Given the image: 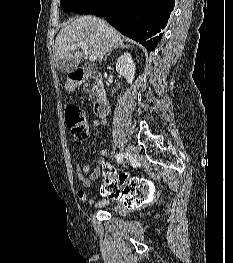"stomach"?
Wrapping results in <instances>:
<instances>
[{
	"label": "stomach",
	"instance_id": "1",
	"mask_svg": "<svg viewBox=\"0 0 233 263\" xmlns=\"http://www.w3.org/2000/svg\"><path fill=\"white\" fill-rule=\"evenodd\" d=\"M66 88L67 90L71 91L75 88V83L71 82V81H67L66 83Z\"/></svg>",
	"mask_w": 233,
	"mask_h": 263
}]
</instances>
